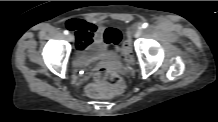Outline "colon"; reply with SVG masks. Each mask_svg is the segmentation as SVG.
I'll use <instances>...</instances> for the list:
<instances>
[{
  "instance_id": "5ec220e1",
  "label": "colon",
  "mask_w": 218,
  "mask_h": 122,
  "mask_svg": "<svg viewBox=\"0 0 218 122\" xmlns=\"http://www.w3.org/2000/svg\"><path fill=\"white\" fill-rule=\"evenodd\" d=\"M125 37V31L121 27H106L102 31V47L99 49V55L94 56V64L101 66L104 61H108L116 55L123 45ZM122 52L126 60H132L131 42L129 40L126 41ZM124 89V81L117 73L101 67L96 71L94 81L88 85L87 93L91 97L107 98L121 94Z\"/></svg>"
}]
</instances>
